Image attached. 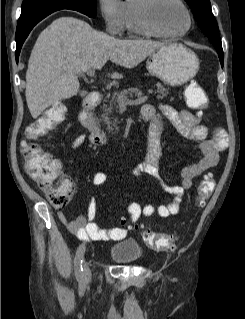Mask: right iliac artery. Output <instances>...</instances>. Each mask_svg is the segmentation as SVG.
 Listing matches in <instances>:
<instances>
[{"label":"right iliac artery","instance_id":"obj_1","mask_svg":"<svg viewBox=\"0 0 245 319\" xmlns=\"http://www.w3.org/2000/svg\"><path fill=\"white\" fill-rule=\"evenodd\" d=\"M84 252H85V246L81 244L76 252L75 256V274L76 278L80 284L81 287L84 286V275H83V268H82V263H83V257H84Z\"/></svg>","mask_w":245,"mask_h":319}]
</instances>
